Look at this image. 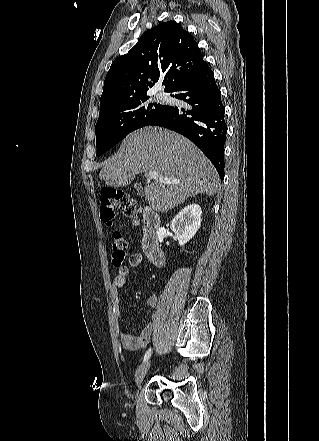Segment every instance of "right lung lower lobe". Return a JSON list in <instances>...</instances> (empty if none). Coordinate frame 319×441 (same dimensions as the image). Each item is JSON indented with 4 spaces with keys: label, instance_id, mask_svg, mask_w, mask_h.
Wrapping results in <instances>:
<instances>
[{
    "label": "right lung lower lobe",
    "instance_id": "right-lung-lower-lobe-1",
    "mask_svg": "<svg viewBox=\"0 0 319 441\" xmlns=\"http://www.w3.org/2000/svg\"><path fill=\"white\" fill-rule=\"evenodd\" d=\"M170 92L189 107L166 106L150 125L168 128L190 139L210 159L223 180L227 126L221 94L208 64L203 63Z\"/></svg>",
    "mask_w": 319,
    "mask_h": 441
}]
</instances>
